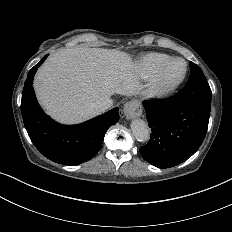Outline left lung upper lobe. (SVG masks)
Returning <instances> with one entry per match:
<instances>
[{
    "label": "left lung upper lobe",
    "mask_w": 232,
    "mask_h": 232,
    "mask_svg": "<svg viewBox=\"0 0 232 232\" xmlns=\"http://www.w3.org/2000/svg\"><path fill=\"white\" fill-rule=\"evenodd\" d=\"M190 70L191 73L187 84L176 94V97L182 100L195 102L210 109L211 90L203 72L193 62H190Z\"/></svg>",
    "instance_id": "obj_1"
}]
</instances>
